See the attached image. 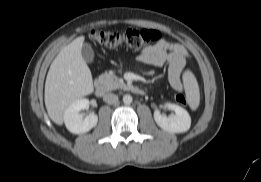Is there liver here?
I'll list each match as a JSON object with an SVG mask.
<instances>
[{"label": "liver", "instance_id": "obj_1", "mask_svg": "<svg viewBox=\"0 0 261 182\" xmlns=\"http://www.w3.org/2000/svg\"><path fill=\"white\" fill-rule=\"evenodd\" d=\"M85 37L80 36L65 46L50 65L45 82V106L51 120L61 125L67 107L93 92L92 74L81 49Z\"/></svg>", "mask_w": 261, "mask_h": 182}]
</instances>
